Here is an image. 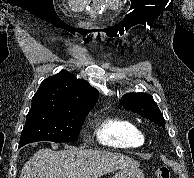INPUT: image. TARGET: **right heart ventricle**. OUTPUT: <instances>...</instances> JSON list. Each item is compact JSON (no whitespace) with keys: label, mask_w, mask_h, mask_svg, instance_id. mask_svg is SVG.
<instances>
[{"label":"right heart ventricle","mask_w":194,"mask_h":178,"mask_svg":"<svg viewBox=\"0 0 194 178\" xmlns=\"http://www.w3.org/2000/svg\"><path fill=\"white\" fill-rule=\"evenodd\" d=\"M96 137L104 146L121 149L137 148L144 144V137L131 120L107 116L96 124Z\"/></svg>","instance_id":"obj_1"}]
</instances>
